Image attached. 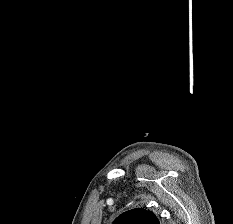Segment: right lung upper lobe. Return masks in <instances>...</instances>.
Wrapping results in <instances>:
<instances>
[{
	"label": "right lung upper lobe",
	"mask_w": 233,
	"mask_h": 224,
	"mask_svg": "<svg viewBox=\"0 0 233 224\" xmlns=\"http://www.w3.org/2000/svg\"><path fill=\"white\" fill-rule=\"evenodd\" d=\"M113 224H160L155 214L141 208L121 214Z\"/></svg>",
	"instance_id": "cb5924a9"
}]
</instances>
